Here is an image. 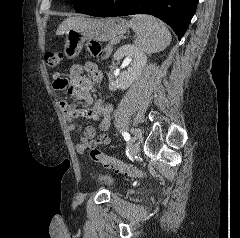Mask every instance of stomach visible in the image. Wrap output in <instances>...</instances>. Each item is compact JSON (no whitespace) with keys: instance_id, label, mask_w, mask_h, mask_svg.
Returning a JSON list of instances; mask_svg holds the SVG:
<instances>
[{"instance_id":"0dacf381","label":"stomach","mask_w":240,"mask_h":238,"mask_svg":"<svg viewBox=\"0 0 240 238\" xmlns=\"http://www.w3.org/2000/svg\"><path fill=\"white\" fill-rule=\"evenodd\" d=\"M128 29L129 23L122 18L85 19L79 27L65 33L63 53L67 59H74L80 54L85 41H109Z\"/></svg>"}]
</instances>
